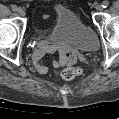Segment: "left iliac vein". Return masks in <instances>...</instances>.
I'll list each match as a JSON object with an SVG mask.
<instances>
[{
    "label": "left iliac vein",
    "mask_w": 119,
    "mask_h": 119,
    "mask_svg": "<svg viewBox=\"0 0 119 119\" xmlns=\"http://www.w3.org/2000/svg\"><path fill=\"white\" fill-rule=\"evenodd\" d=\"M96 10H97V11H102V10H103L102 5H97V6H96Z\"/></svg>",
    "instance_id": "obj_1"
}]
</instances>
